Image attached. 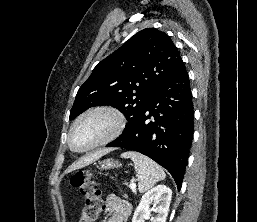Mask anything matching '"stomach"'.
Listing matches in <instances>:
<instances>
[{"instance_id":"0dacf381","label":"stomach","mask_w":257,"mask_h":222,"mask_svg":"<svg viewBox=\"0 0 257 222\" xmlns=\"http://www.w3.org/2000/svg\"><path fill=\"white\" fill-rule=\"evenodd\" d=\"M120 164L118 163V161H114L112 159H107V160H104L102 163H101V168L102 169H112V168H117L119 167Z\"/></svg>"}]
</instances>
